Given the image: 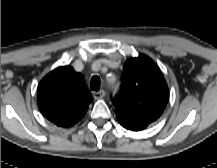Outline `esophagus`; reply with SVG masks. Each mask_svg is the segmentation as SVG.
<instances>
[{"mask_svg": "<svg viewBox=\"0 0 217 168\" xmlns=\"http://www.w3.org/2000/svg\"><path fill=\"white\" fill-rule=\"evenodd\" d=\"M93 96L95 99H101L105 96V90L101 89L98 92H94Z\"/></svg>", "mask_w": 217, "mask_h": 168, "instance_id": "34e87169", "label": "esophagus"}]
</instances>
